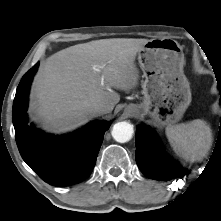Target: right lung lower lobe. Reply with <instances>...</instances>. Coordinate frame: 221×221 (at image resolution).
I'll return each instance as SVG.
<instances>
[{
	"instance_id": "98d812e1",
	"label": "right lung lower lobe",
	"mask_w": 221,
	"mask_h": 221,
	"mask_svg": "<svg viewBox=\"0 0 221 221\" xmlns=\"http://www.w3.org/2000/svg\"><path fill=\"white\" fill-rule=\"evenodd\" d=\"M37 63L20 81L13 102L15 138L23 160L53 186H69L92 172L109 123L92 122L65 136H52L28 124L27 101Z\"/></svg>"
}]
</instances>
